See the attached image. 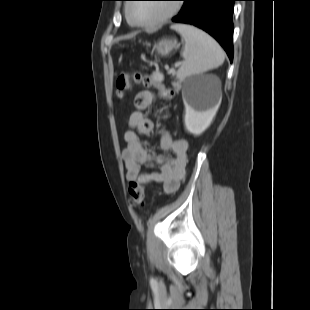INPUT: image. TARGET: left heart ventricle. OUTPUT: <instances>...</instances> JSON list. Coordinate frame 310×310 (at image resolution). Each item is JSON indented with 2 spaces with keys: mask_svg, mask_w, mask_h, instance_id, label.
Masks as SVG:
<instances>
[{
  "mask_svg": "<svg viewBox=\"0 0 310 310\" xmlns=\"http://www.w3.org/2000/svg\"><path fill=\"white\" fill-rule=\"evenodd\" d=\"M169 3H136L130 8V13L135 21L150 22L154 21L167 13Z\"/></svg>",
  "mask_w": 310,
  "mask_h": 310,
  "instance_id": "left-heart-ventricle-1",
  "label": "left heart ventricle"
}]
</instances>
